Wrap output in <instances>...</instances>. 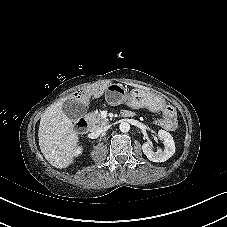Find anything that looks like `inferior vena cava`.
<instances>
[{
	"instance_id": "1",
	"label": "inferior vena cava",
	"mask_w": 227,
	"mask_h": 227,
	"mask_svg": "<svg viewBox=\"0 0 227 227\" xmlns=\"http://www.w3.org/2000/svg\"><path fill=\"white\" fill-rule=\"evenodd\" d=\"M108 129H109L108 125L103 126V127H99V128L94 130L93 136L98 137L100 134H102L103 132H106Z\"/></svg>"
}]
</instances>
